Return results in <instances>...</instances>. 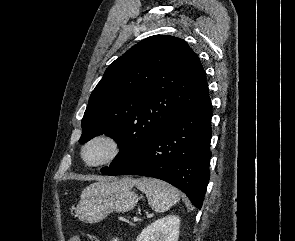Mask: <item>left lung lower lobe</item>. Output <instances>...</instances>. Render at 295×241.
<instances>
[{
  "label": "left lung lower lobe",
  "instance_id": "0a47b994",
  "mask_svg": "<svg viewBox=\"0 0 295 241\" xmlns=\"http://www.w3.org/2000/svg\"><path fill=\"white\" fill-rule=\"evenodd\" d=\"M211 118L208 96L173 119L131 159L106 175H142L164 180L201 208L210 176Z\"/></svg>",
  "mask_w": 295,
  "mask_h": 241
}]
</instances>
